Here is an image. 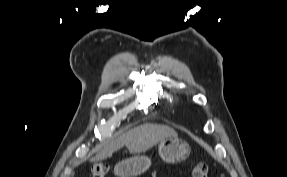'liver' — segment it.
<instances>
[{
  "label": "liver",
  "mask_w": 287,
  "mask_h": 177,
  "mask_svg": "<svg viewBox=\"0 0 287 177\" xmlns=\"http://www.w3.org/2000/svg\"><path fill=\"white\" fill-rule=\"evenodd\" d=\"M177 132L166 125L146 123L122 134L99 150L91 162L103 160L121 149L124 145L130 153H142L167 138H177Z\"/></svg>",
  "instance_id": "1"
}]
</instances>
